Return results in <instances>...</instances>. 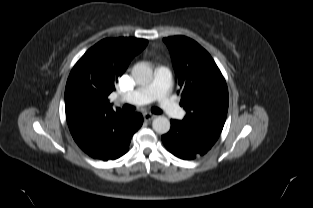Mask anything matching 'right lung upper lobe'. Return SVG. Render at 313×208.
<instances>
[{"label":"right lung upper lobe","instance_id":"obj_1","mask_svg":"<svg viewBox=\"0 0 313 208\" xmlns=\"http://www.w3.org/2000/svg\"><path fill=\"white\" fill-rule=\"evenodd\" d=\"M148 44L138 38H106L91 47L75 64L65 88L66 117L115 111L108 96L130 61ZM117 112H123L119 108Z\"/></svg>","mask_w":313,"mask_h":208}]
</instances>
